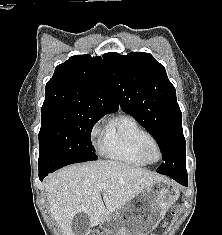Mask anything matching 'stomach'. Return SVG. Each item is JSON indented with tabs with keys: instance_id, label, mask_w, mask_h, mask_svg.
Masks as SVG:
<instances>
[{
	"instance_id": "1",
	"label": "stomach",
	"mask_w": 222,
	"mask_h": 235,
	"mask_svg": "<svg viewBox=\"0 0 222 235\" xmlns=\"http://www.w3.org/2000/svg\"><path fill=\"white\" fill-rule=\"evenodd\" d=\"M178 196L167 180L151 184L100 224L103 235H148Z\"/></svg>"
}]
</instances>
